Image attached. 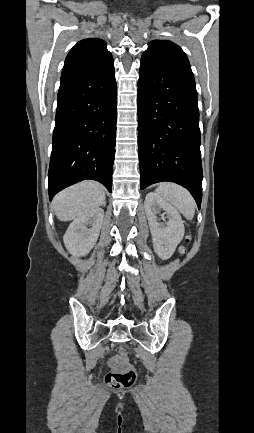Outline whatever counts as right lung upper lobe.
Segmentation results:
<instances>
[{"instance_id": "1", "label": "right lung upper lobe", "mask_w": 254, "mask_h": 433, "mask_svg": "<svg viewBox=\"0 0 254 433\" xmlns=\"http://www.w3.org/2000/svg\"><path fill=\"white\" fill-rule=\"evenodd\" d=\"M113 61L106 43L98 38L79 41L68 53L62 76L74 72L93 70Z\"/></svg>"}]
</instances>
